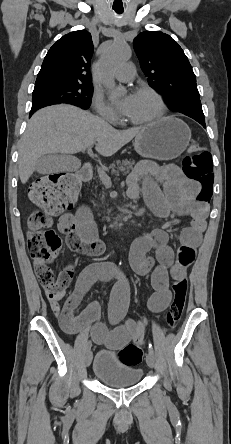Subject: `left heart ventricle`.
<instances>
[{"mask_svg": "<svg viewBox=\"0 0 231 444\" xmlns=\"http://www.w3.org/2000/svg\"><path fill=\"white\" fill-rule=\"evenodd\" d=\"M159 112V104L155 97L148 93L133 95L130 109L126 116L132 120H145Z\"/></svg>", "mask_w": 231, "mask_h": 444, "instance_id": "1", "label": "left heart ventricle"}]
</instances>
